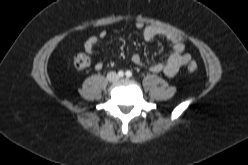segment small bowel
<instances>
[{"mask_svg":"<svg viewBox=\"0 0 248 165\" xmlns=\"http://www.w3.org/2000/svg\"><path fill=\"white\" fill-rule=\"evenodd\" d=\"M136 28L142 31L145 40L150 41L160 38L166 41L173 49V52L167 59L151 64L149 66L151 71L155 73L162 72L169 77H173L178 73L181 67L187 65L191 61V55L185 51V40L179 34L154 25H144L142 23H137ZM107 36L108 32L102 30L98 35L88 37L83 42L85 52L92 55L99 40L105 39ZM131 61L135 65L145 66L143 58L137 53H134L131 56ZM103 66L104 64L100 61L93 64V67L96 70H101Z\"/></svg>","mask_w":248,"mask_h":165,"instance_id":"obj_1","label":"small bowel"}]
</instances>
